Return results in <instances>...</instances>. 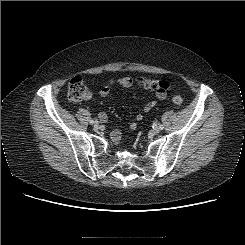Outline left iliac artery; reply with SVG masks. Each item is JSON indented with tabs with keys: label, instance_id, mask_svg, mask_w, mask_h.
<instances>
[{
	"label": "left iliac artery",
	"instance_id": "1",
	"mask_svg": "<svg viewBox=\"0 0 245 245\" xmlns=\"http://www.w3.org/2000/svg\"><path fill=\"white\" fill-rule=\"evenodd\" d=\"M159 127H160V129H163L164 128V126L162 124H159Z\"/></svg>",
	"mask_w": 245,
	"mask_h": 245
}]
</instances>
